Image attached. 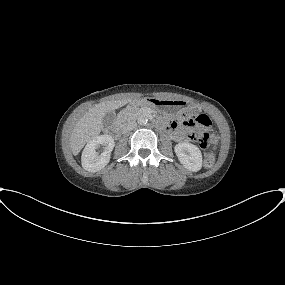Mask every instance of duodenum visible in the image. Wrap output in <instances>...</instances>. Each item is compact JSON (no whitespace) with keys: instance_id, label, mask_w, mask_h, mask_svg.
Returning a JSON list of instances; mask_svg holds the SVG:
<instances>
[{"instance_id":"obj_1","label":"duodenum","mask_w":285,"mask_h":285,"mask_svg":"<svg viewBox=\"0 0 285 285\" xmlns=\"http://www.w3.org/2000/svg\"><path fill=\"white\" fill-rule=\"evenodd\" d=\"M145 101L144 100H135L132 105L134 106H141L144 105ZM162 126L167 128L168 127V123L167 121H162L161 122ZM122 132V127L119 124H114L111 128H110V133L114 134V135H119Z\"/></svg>"}]
</instances>
